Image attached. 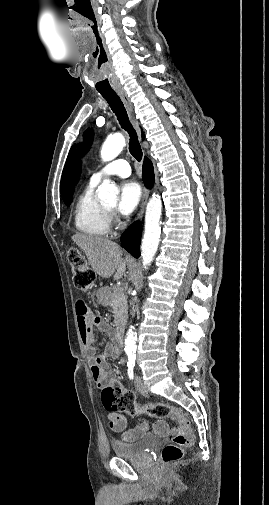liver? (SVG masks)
<instances>
[{
    "label": "liver",
    "mask_w": 269,
    "mask_h": 505,
    "mask_svg": "<svg viewBox=\"0 0 269 505\" xmlns=\"http://www.w3.org/2000/svg\"><path fill=\"white\" fill-rule=\"evenodd\" d=\"M72 240L83 250L94 272L102 278L114 275V280H119L125 275L126 261L117 243L82 233L73 235Z\"/></svg>",
    "instance_id": "liver-1"
}]
</instances>
